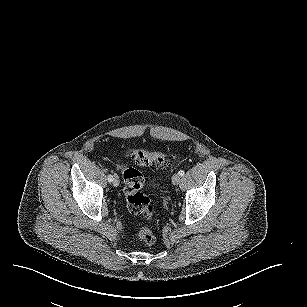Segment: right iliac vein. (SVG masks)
<instances>
[{
    "instance_id": "obj_1",
    "label": "right iliac vein",
    "mask_w": 307,
    "mask_h": 307,
    "mask_svg": "<svg viewBox=\"0 0 307 307\" xmlns=\"http://www.w3.org/2000/svg\"><path fill=\"white\" fill-rule=\"evenodd\" d=\"M113 177H114V178H113L112 183H113V185H114L115 187H118L119 184H120V181H119V178H118L117 174H114Z\"/></svg>"
}]
</instances>
